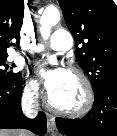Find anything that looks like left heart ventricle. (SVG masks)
<instances>
[{"instance_id": "obj_1", "label": "left heart ventricle", "mask_w": 117, "mask_h": 136, "mask_svg": "<svg viewBox=\"0 0 117 136\" xmlns=\"http://www.w3.org/2000/svg\"><path fill=\"white\" fill-rule=\"evenodd\" d=\"M50 97L59 107L75 108L82 103L84 93L78 78L68 72L64 84Z\"/></svg>"}]
</instances>
